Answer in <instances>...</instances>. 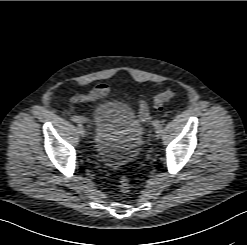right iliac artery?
<instances>
[{
	"instance_id": "obj_1",
	"label": "right iliac artery",
	"mask_w": 247,
	"mask_h": 245,
	"mask_svg": "<svg viewBox=\"0 0 247 245\" xmlns=\"http://www.w3.org/2000/svg\"><path fill=\"white\" fill-rule=\"evenodd\" d=\"M71 120L73 122H76V123H89V120L88 119H85V118L80 117V116H72L71 117Z\"/></svg>"
}]
</instances>
